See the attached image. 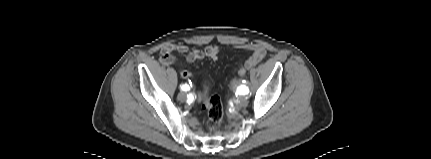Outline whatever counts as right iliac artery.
<instances>
[{"label":"right iliac artery","instance_id":"right-iliac-artery-1","mask_svg":"<svg viewBox=\"0 0 431 159\" xmlns=\"http://www.w3.org/2000/svg\"><path fill=\"white\" fill-rule=\"evenodd\" d=\"M180 88L182 91H188L190 89L189 85H187V84L181 85Z\"/></svg>","mask_w":431,"mask_h":159}]
</instances>
